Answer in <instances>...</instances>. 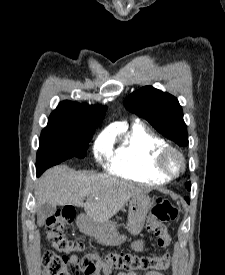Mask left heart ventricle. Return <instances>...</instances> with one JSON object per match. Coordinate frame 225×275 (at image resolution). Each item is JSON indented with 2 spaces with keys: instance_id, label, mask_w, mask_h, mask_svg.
I'll return each instance as SVG.
<instances>
[{
  "instance_id": "left-heart-ventricle-1",
  "label": "left heart ventricle",
  "mask_w": 225,
  "mask_h": 275,
  "mask_svg": "<svg viewBox=\"0 0 225 275\" xmlns=\"http://www.w3.org/2000/svg\"><path fill=\"white\" fill-rule=\"evenodd\" d=\"M171 165H172L174 168H178V167L180 166V163H179V161H178L177 158H173V159L171 160Z\"/></svg>"
}]
</instances>
